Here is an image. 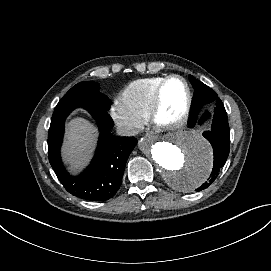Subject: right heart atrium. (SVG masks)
I'll return each mask as SVG.
<instances>
[{"instance_id":"d8ad5b80","label":"right heart atrium","mask_w":271,"mask_h":271,"mask_svg":"<svg viewBox=\"0 0 271 271\" xmlns=\"http://www.w3.org/2000/svg\"><path fill=\"white\" fill-rule=\"evenodd\" d=\"M110 114L115 122L125 123L128 133L131 135L136 134L143 126V122L127 110L120 98L113 101L110 107Z\"/></svg>"}]
</instances>
